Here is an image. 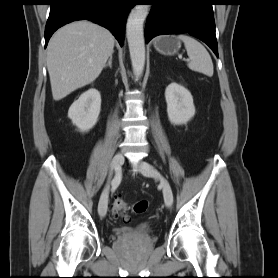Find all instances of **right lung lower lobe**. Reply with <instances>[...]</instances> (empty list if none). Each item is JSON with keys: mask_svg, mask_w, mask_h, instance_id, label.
I'll return each mask as SVG.
<instances>
[{"mask_svg": "<svg viewBox=\"0 0 278 278\" xmlns=\"http://www.w3.org/2000/svg\"><path fill=\"white\" fill-rule=\"evenodd\" d=\"M134 0H52L45 28V47L61 26L76 20H91L109 29L123 45L125 22Z\"/></svg>", "mask_w": 278, "mask_h": 278, "instance_id": "1", "label": "right lung lower lobe"}]
</instances>
